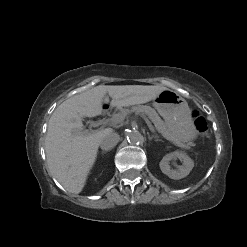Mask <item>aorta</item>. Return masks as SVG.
<instances>
[{
  "instance_id": "aorta-1",
  "label": "aorta",
  "mask_w": 247,
  "mask_h": 247,
  "mask_svg": "<svg viewBox=\"0 0 247 247\" xmlns=\"http://www.w3.org/2000/svg\"><path fill=\"white\" fill-rule=\"evenodd\" d=\"M127 141L131 145H139L144 142V137L138 130H131L127 133Z\"/></svg>"
}]
</instances>
